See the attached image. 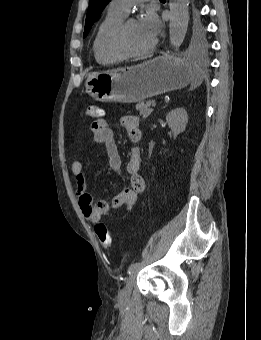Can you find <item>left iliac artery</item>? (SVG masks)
<instances>
[{
	"mask_svg": "<svg viewBox=\"0 0 261 340\" xmlns=\"http://www.w3.org/2000/svg\"><path fill=\"white\" fill-rule=\"evenodd\" d=\"M143 262H136V263L131 264L128 268V273L130 274L133 270L138 268Z\"/></svg>",
	"mask_w": 261,
	"mask_h": 340,
	"instance_id": "1",
	"label": "left iliac artery"
}]
</instances>
